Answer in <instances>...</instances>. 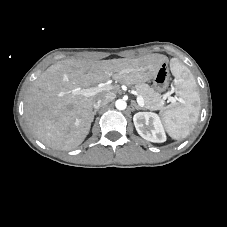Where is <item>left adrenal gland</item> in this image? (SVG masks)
<instances>
[{
    "label": "left adrenal gland",
    "mask_w": 227,
    "mask_h": 227,
    "mask_svg": "<svg viewBox=\"0 0 227 227\" xmlns=\"http://www.w3.org/2000/svg\"><path fill=\"white\" fill-rule=\"evenodd\" d=\"M132 105H133L134 109H137V110H142V109H144L143 107L137 105L134 101L132 102Z\"/></svg>",
    "instance_id": "left-adrenal-gland-1"
}]
</instances>
